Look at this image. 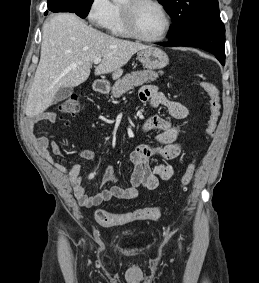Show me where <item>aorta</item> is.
Returning <instances> with one entry per match:
<instances>
[{"mask_svg": "<svg viewBox=\"0 0 259 283\" xmlns=\"http://www.w3.org/2000/svg\"><path fill=\"white\" fill-rule=\"evenodd\" d=\"M113 2H120L121 0H112Z\"/></svg>", "mask_w": 259, "mask_h": 283, "instance_id": "obj_1", "label": "aorta"}]
</instances>
